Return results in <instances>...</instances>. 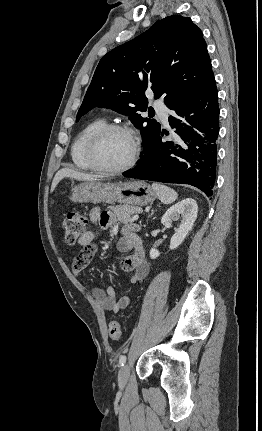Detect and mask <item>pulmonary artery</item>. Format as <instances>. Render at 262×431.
Wrapping results in <instances>:
<instances>
[{
    "label": "pulmonary artery",
    "mask_w": 262,
    "mask_h": 431,
    "mask_svg": "<svg viewBox=\"0 0 262 431\" xmlns=\"http://www.w3.org/2000/svg\"><path fill=\"white\" fill-rule=\"evenodd\" d=\"M155 108L158 110L159 114L161 115L162 122L165 125H168V108L162 103V101H157L154 103Z\"/></svg>",
    "instance_id": "1"
}]
</instances>
